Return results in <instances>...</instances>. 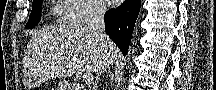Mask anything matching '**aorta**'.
Masks as SVG:
<instances>
[{"mask_svg":"<svg viewBox=\"0 0 216 90\" xmlns=\"http://www.w3.org/2000/svg\"><path fill=\"white\" fill-rule=\"evenodd\" d=\"M131 42H132V44H130V46L128 48L127 60H125V62H128V60H131L133 54H135V46H136L135 38H134V40H131Z\"/></svg>","mask_w":216,"mask_h":90,"instance_id":"762f6f07","label":"aorta"}]
</instances>
